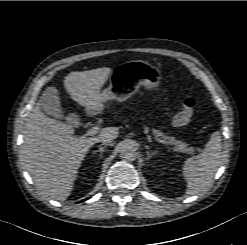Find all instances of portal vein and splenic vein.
I'll use <instances>...</instances> for the list:
<instances>
[{
	"label": "portal vein and splenic vein",
	"instance_id": "portal-vein-and-splenic-vein-1",
	"mask_svg": "<svg viewBox=\"0 0 247 245\" xmlns=\"http://www.w3.org/2000/svg\"><path fill=\"white\" fill-rule=\"evenodd\" d=\"M98 131H99V128H98L97 126H94V127L90 128V129L87 131L86 136H93V135L97 134ZM155 140H156L158 143H161V144H163V145H167V143H166L164 140L160 139V138H155Z\"/></svg>",
	"mask_w": 247,
	"mask_h": 245
}]
</instances>
